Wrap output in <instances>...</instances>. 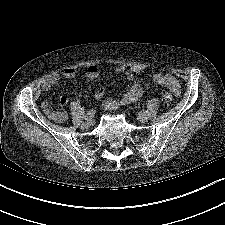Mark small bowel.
I'll return each instance as SVG.
<instances>
[{"label": "small bowel", "instance_id": "c3829d8e", "mask_svg": "<svg viewBox=\"0 0 225 225\" xmlns=\"http://www.w3.org/2000/svg\"><path fill=\"white\" fill-rule=\"evenodd\" d=\"M143 70L141 66H134L131 69H127L125 66H119L116 68L118 73H125L126 78L129 81H132L135 77L136 73H139ZM100 74L99 68L96 65H90L86 71V77L89 80L96 79ZM76 76V71L74 68L67 67L63 69L60 73H52L47 78H45L41 83V89L43 91L51 90L63 77L66 79H72ZM152 80L154 83L165 86L170 91L178 96L180 94V84L178 80L171 74H154L152 76ZM143 86L139 83L133 84L128 91L124 93V95L119 100L107 99L105 98L104 89L100 88L95 92V98L101 102V105L104 109L107 110H115L120 108L121 106L131 104L139 99L143 93ZM60 104L65 105L67 103V98L65 96L60 97ZM42 107L45 113L58 121H62L65 119L66 114L64 111L56 110L52 107L51 102L49 100H45L42 103Z\"/></svg>", "mask_w": 225, "mask_h": 225}]
</instances>
